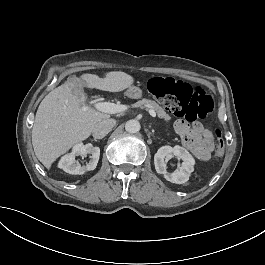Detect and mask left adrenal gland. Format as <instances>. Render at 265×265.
Instances as JSON below:
<instances>
[{"label": "left adrenal gland", "mask_w": 265, "mask_h": 265, "mask_svg": "<svg viewBox=\"0 0 265 265\" xmlns=\"http://www.w3.org/2000/svg\"><path fill=\"white\" fill-rule=\"evenodd\" d=\"M153 133H154V130H153ZM156 139L161 140L159 137H156Z\"/></svg>", "instance_id": "obj_1"}]
</instances>
